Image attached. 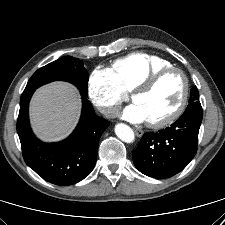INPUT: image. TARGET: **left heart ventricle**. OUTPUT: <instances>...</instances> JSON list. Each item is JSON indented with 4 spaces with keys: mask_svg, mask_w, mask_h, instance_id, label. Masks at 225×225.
<instances>
[{
    "mask_svg": "<svg viewBox=\"0 0 225 225\" xmlns=\"http://www.w3.org/2000/svg\"><path fill=\"white\" fill-rule=\"evenodd\" d=\"M181 95V77L178 73L171 72L161 78L150 91L136 94L132 100L143 109L147 121H156L175 109Z\"/></svg>",
    "mask_w": 225,
    "mask_h": 225,
    "instance_id": "obj_1",
    "label": "left heart ventricle"
}]
</instances>
